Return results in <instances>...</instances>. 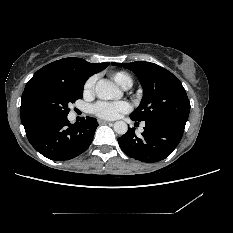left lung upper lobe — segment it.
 <instances>
[{
	"instance_id": "left-lung-upper-lobe-1",
	"label": "left lung upper lobe",
	"mask_w": 233,
	"mask_h": 233,
	"mask_svg": "<svg viewBox=\"0 0 233 233\" xmlns=\"http://www.w3.org/2000/svg\"><path fill=\"white\" fill-rule=\"evenodd\" d=\"M112 64L130 69L142 84V101L130 118L185 126L190 102L176 76L155 63L145 61Z\"/></svg>"
}]
</instances>
